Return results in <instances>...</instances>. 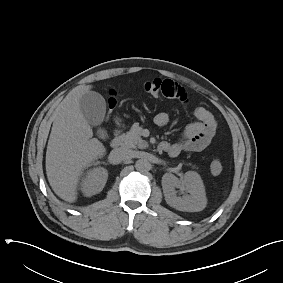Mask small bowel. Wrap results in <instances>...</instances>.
I'll use <instances>...</instances> for the list:
<instances>
[{
	"label": "small bowel",
	"mask_w": 283,
	"mask_h": 283,
	"mask_svg": "<svg viewBox=\"0 0 283 283\" xmlns=\"http://www.w3.org/2000/svg\"><path fill=\"white\" fill-rule=\"evenodd\" d=\"M161 95L182 102L188 99L185 89L170 79L162 80ZM193 116L196 121L185 128L178 142L161 143L163 151L171 156H177L181 152L202 151L212 143L217 132V123L212 113L203 107H196ZM154 122L157 126L163 127L168 124L169 116L165 112H159L154 117Z\"/></svg>",
	"instance_id": "1"
}]
</instances>
